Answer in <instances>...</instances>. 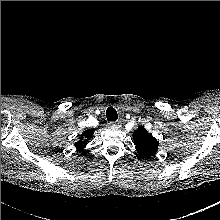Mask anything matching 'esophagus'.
<instances>
[{"mask_svg": "<svg viewBox=\"0 0 220 220\" xmlns=\"http://www.w3.org/2000/svg\"><path fill=\"white\" fill-rule=\"evenodd\" d=\"M109 126L112 128H119L121 126V122L120 121H111V122H109Z\"/></svg>", "mask_w": 220, "mask_h": 220, "instance_id": "esophagus-1", "label": "esophagus"}]
</instances>
